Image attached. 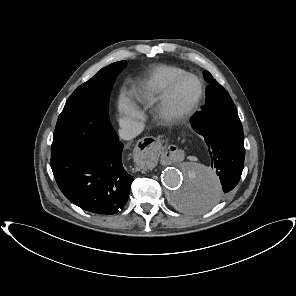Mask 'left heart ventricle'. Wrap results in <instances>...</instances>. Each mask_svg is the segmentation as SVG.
<instances>
[{"mask_svg": "<svg viewBox=\"0 0 296 296\" xmlns=\"http://www.w3.org/2000/svg\"><path fill=\"white\" fill-rule=\"evenodd\" d=\"M199 92L197 82L192 78L183 80L173 93V103L176 108H184L194 101Z\"/></svg>", "mask_w": 296, "mask_h": 296, "instance_id": "1", "label": "left heart ventricle"}]
</instances>
